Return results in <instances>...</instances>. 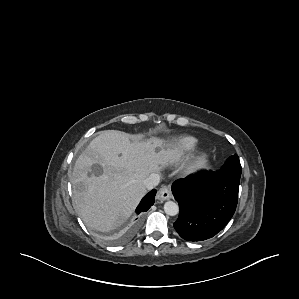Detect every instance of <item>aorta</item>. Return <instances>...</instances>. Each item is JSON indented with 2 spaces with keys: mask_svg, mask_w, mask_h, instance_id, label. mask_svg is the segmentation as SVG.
<instances>
[{
  "mask_svg": "<svg viewBox=\"0 0 299 299\" xmlns=\"http://www.w3.org/2000/svg\"><path fill=\"white\" fill-rule=\"evenodd\" d=\"M164 211L169 216H175L179 213V206L173 201H167L164 204Z\"/></svg>",
  "mask_w": 299,
  "mask_h": 299,
  "instance_id": "762f6f07",
  "label": "aorta"
}]
</instances>
